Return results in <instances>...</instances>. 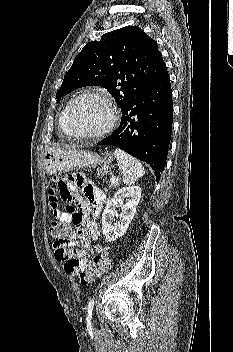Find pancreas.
<instances>
[{"label": "pancreas", "instance_id": "1", "mask_svg": "<svg viewBox=\"0 0 233 352\" xmlns=\"http://www.w3.org/2000/svg\"><path fill=\"white\" fill-rule=\"evenodd\" d=\"M120 185V180L118 179L116 182H110L109 183V188H116V187H119Z\"/></svg>", "mask_w": 233, "mask_h": 352}]
</instances>
